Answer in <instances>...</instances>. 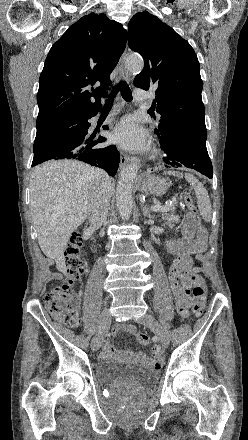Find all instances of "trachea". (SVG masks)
I'll return each instance as SVG.
<instances>
[{
	"label": "trachea",
	"instance_id": "3493384b",
	"mask_svg": "<svg viewBox=\"0 0 248 440\" xmlns=\"http://www.w3.org/2000/svg\"><path fill=\"white\" fill-rule=\"evenodd\" d=\"M121 91V95L127 102L132 101V92L129 88V85L125 81H120L112 91V93L109 95L108 99L105 102V107L112 106L113 99L116 96V93L118 91Z\"/></svg>",
	"mask_w": 248,
	"mask_h": 440
}]
</instances>
